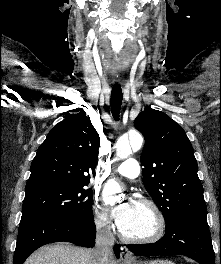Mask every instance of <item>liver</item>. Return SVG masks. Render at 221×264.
Returning a JSON list of instances; mask_svg holds the SVG:
<instances>
[{
	"label": "liver",
	"instance_id": "6515ba94",
	"mask_svg": "<svg viewBox=\"0 0 221 264\" xmlns=\"http://www.w3.org/2000/svg\"><path fill=\"white\" fill-rule=\"evenodd\" d=\"M24 264H98L94 249H84L66 244L44 246L34 252ZM108 264H117L110 258Z\"/></svg>",
	"mask_w": 221,
	"mask_h": 264
}]
</instances>
